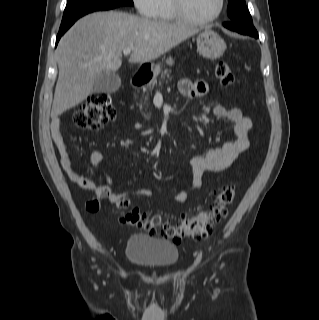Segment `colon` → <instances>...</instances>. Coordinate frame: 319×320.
I'll use <instances>...</instances> for the list:
<instances>
[{"mask_svg": "<svg viewBox=\"0 0 319 320\" xmlns=\"http://www.w3.org/2000/svg\"><path fill=\"white\" fill-rule=\"evenodd\" d=\"M215 77L224 87H234L237 79L226 61H220L215 67ZM116 118V110L111 97L106 93L94 94L73 116L74 125L78 128L97 130ZM235 187L227 185L217 191L209 204L192 216L183 217L173 223L161 214H145L131 210L123 214L122 221L132 227L151 234L161 233L174 241L186 237L204 238L211 234L215 226L227 215L228 208L235 197ZM130 201L122 198L118 202L121 209L128 208ZM96 200L89 201L86 209L91 212L99 210Z\"/></svg>", "mask_w": 319, "mask_h": 320, "instance_id": "colon-1", "label": "colon"}]
</instances>
